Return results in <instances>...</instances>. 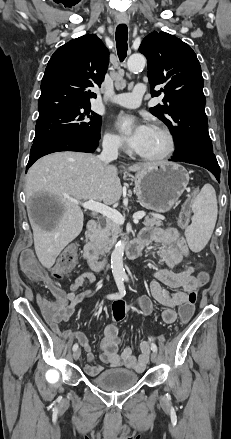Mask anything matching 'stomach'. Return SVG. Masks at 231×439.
Instances as JSON below:
<instances>
[{"label":"stomach","mask_w":231,"mask_h":439,"mask_svg":"<svg viewBox=\"0 0 231 439\" xmlns=\"http://www.w3.org/2000/svg\"><path fill=\"white\" fill-rule=\"evenodd\" d=\"M134 181V190L141 205L165 213L186 190L189 175L179 164L162 162L137 172Z\"/></svg>","instance_id":"1"}]
</instances>
